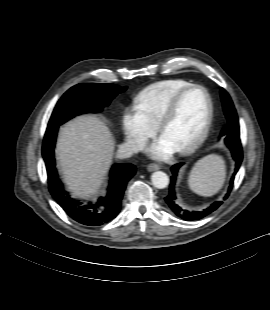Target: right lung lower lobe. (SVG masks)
Instances as JSON below:
<instances>
[{
    "label": "right lung lower lobe",
    "mask_w": 270,
    "mask_h": 310,
    "mask_svg": "<svg viewBox=\"0 0 270 310\" xmlns=\"http://www.w3.org/2000/svg\"><path fill=\"white\" fill-rule=\"evenodd\" d=\"M59 125H48L44 140L42 155L45 160L48 187L51 195L64 211L75 221L88 225L99 226L117 216L127 182L134 176L136 168L132 164H115L110 171L108 194L97 203L83 205L70 197L59 180L55 169L54 145Z\"/></svg>",
    "instance_id": "right-lung-lower-lobe-1"
}]
</instances>
